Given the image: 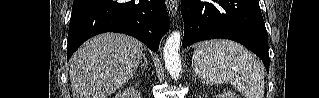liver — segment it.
<instances>
[{"label": "liver", "instance_id": "obj_1", "mask_svg": "<svg viewBox=\"0 0 319 98\" xmlns=\"http://www.w3.org/2000/svg\"><path fill=\"white\" fill-rule=\"evenodd\" d=\"M143 56V44L131 36L105 33L86 41L70 59L73 98H108L128 82Z\"/></svg>", "mask_w": 319, "mask_h": 98}]
</instances>
